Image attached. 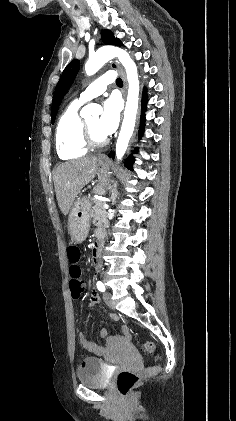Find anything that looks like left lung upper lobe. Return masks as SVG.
<instances>
[{"label": "left lung upper lobe", "mask_w": 236, "mask_h": 421, "mask_svg": "<svg viewBox=\"0 0 236 421\" xmlns=\"http://www.w3.org/2000/svg\"><path fill=\"white\" fill-rule=\"evenodd\" d=\"M101 36H102V41L105 44L122 46V42L118 38H115L113 33L110 30H102ZM79 67H80L79 60H73L66 66V68L64 69L61 75V78L57 84V87L54 93L53 102H52V110H51L52 123H54L55 121V116L57 114L58 107L62 101V98L64 97L68 89L70 88L74 78L77 75Z\"/></svg>", "instance_id": "5c2ea615"}]
</instances>
